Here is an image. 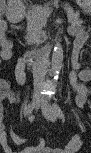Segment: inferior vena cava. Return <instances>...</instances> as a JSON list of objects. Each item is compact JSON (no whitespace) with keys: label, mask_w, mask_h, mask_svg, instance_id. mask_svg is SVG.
Masks as SVG:
<instances>
[{"label":"inferior vena cava","mask_w":91,"mask_h":153,"mask_svg":"<svg viewBox=\"0 0 91 153\" xmlns=\"http://www.w3.org/2000/svg\"><path fill=\"white\" fill-rule=\"evenodd\" d=\"M42 56V55H36ZM35 60H32L33 65V78H34V87L35 90H38L39 87L45 80V76L49 67L47 65L48 60L47 57H35Z\"/></svg>","instance_id":"1"}]
</instances>
